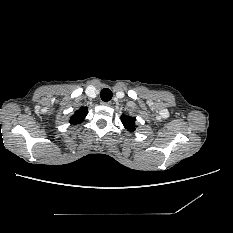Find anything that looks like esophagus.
I'll return each mask as SVG.
<instances>
[{
    "mask_svg": "<svg viewBox=\"0 0 233 233\" xmlns=\"http://www.w3.org/2000/svg\"><path fill=\"white\" fill-rule=\"evenodd\" d=\"M111 104L112 103L109 101L108 102H104V101L101 102V105H104V106H111Z\"/></svg>",
    "mask_w": 233,
    "mask_h": 233,
    "instance_id": "34e87169",
    "label": "esophagus"
}]
</instances>
